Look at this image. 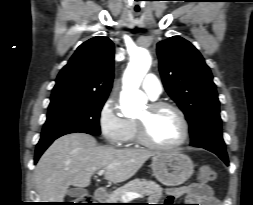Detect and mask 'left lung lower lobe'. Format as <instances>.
<instances>
[{
	"label": "left lung lower lobe",
	"instance_id": "1",
	"mask_svg": "<svg viewBox=\"0 0 253 205\" xmlns=\"http://www.w3.org/2000/svg\"><path fill=\"white\" fill-rule=\"evenodd\" d=\"M201 148H204L206 150H209V151L215 153L225 162V164L227 166L229 165L228 156H227L225 149L219 148V147H214V146H203Z\"/></svg>",
	"mask_w": 253,
	"mask_h": 205
}]
</instances>
